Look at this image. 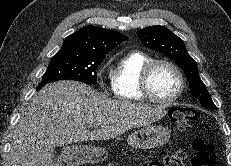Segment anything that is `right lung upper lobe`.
I'll return each instance as SVG.
<instances>
[{
	"instance_id": "obj_1",
	"label": "right lung upper lobe",
	"mask_w": 231,
	"mask_h": 166,
	"mask_svg": "<svg viewBox=\"0 0 231 166\" xmlns=\"http://www.w3.org/2000/svg\"><path fill=\"white\" fill-rule=\"evenodd\" d=\"M125 40H128V37L119 32L96 26H84L64 40L60 51L106 56L107 53Z\"/></svg>"
}]
</instances>
